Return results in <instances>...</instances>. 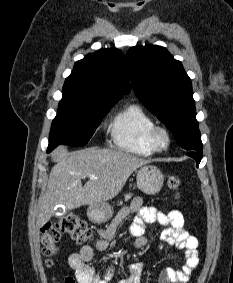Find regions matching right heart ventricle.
Listing matches in <instances>:
<instances>
[{
    "mask_svg": "<svg viewBox=\"0 0 233 283\" xmlns=\"http://www.w3.org/2000/svg\"><path fill=\"white\" fill-rule=\"evenodd\" d=\"M155 126L154 119L142 106L130 104L114 116L109 132L118 149L140 156H151L155 151L149 144V133Z\"/></svg>",
    "mask_w": 233,
    "mask_h": 283,
    "instance_id": "e07e8e85",
    "label": "right heart ventricle"
}]
</instances>
